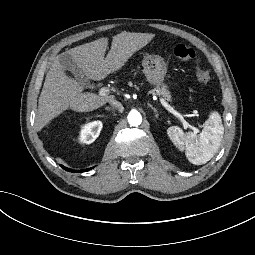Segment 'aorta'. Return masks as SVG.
Returning a JSON list of instances; mask_svg holds the SVG:
<instances>
[{
    "instance_id": "1",
    "label": "aorta",
    "mask_w": 255,
    "mask_h": 255,
    "mask_svg": "<svg viewBox=\"0 0 255 255\" xmlns=\"http://www.w3.org/2000/svg\"><path fill=\"white\" fill-rule=\"evenodd\" d=\"M128 122L131 126H138L142 122V116L138 111H131L128 114Z\"/></svg>"
}]
</instances>
